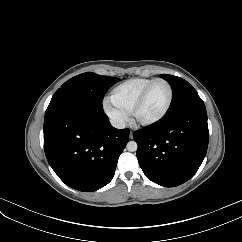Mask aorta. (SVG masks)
<instances>
[{"mask_svg": "<svg viewBox=\"0 0 242 242\" xmlns=\"http://www.w3.org/2000/svg\"><path fill=\"white\" fill-rule=\"evenodd\" d=\"M126 148H127L128 151L134 152V151L137 150L138 145L135 141H129L126 145Z\"/></svg>", "mask_w": 242, "mask_h": 242, "instance_id": "1", "label": "aorta"}]
</instances>
